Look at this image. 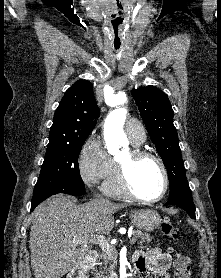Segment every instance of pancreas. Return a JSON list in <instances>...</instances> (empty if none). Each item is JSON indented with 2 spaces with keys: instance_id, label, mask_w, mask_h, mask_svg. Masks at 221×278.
I'll use <instances>...</instances> for the list:
<instances>
[{
  "instance_id": "1",
  "label": "pancreas",
  "mask_w": 221,
  "mask_h": 278,
  "mask_svg": "<svg viewBox=\"0 0 221 278\" xmlns=\"http://www.w3.org/2000/svg\"><path fill=\"white\" fill-rule=\"evenodd\" d=\"M133 235L135 241L139 239V244L144 242L149 243L152 240V237L149 234L143 233L141 231H135ZM117 254V250L113 246L111 254H109L106 250H103L99 255V259H101L102 262L96 263L97 266L96 269H94L95 272L93 278H110L109 273H111V270L116 265ZM108 264H110L109 267H107Z\"/></svg>"
}]
</instances>
